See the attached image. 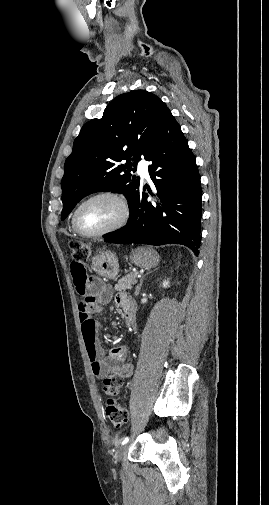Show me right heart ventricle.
<instances>
[{"label":"right heart ventricle","mask_w":269,"mask_h":505,"mask_svg":"<svg viewBox=\"0 0 269 505\" xmlns=\"http://www.w3.org/2000/svg\"><path fill=\"white\" fill-rule=\"evenodd\" d=\"M71 228H72V230H73L74 232H76V231H75V229H74V227H73V224H72V219H71Z\"/></svg>","instance_id":"1"}]
</instances>
